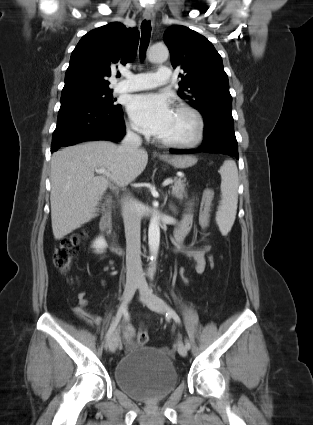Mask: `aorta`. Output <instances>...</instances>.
I'll return each instance as SVG.
<instances>
[{
	"label": "aorta",
	"mask_w": 313,
	"mask_h": 425,
	"mask_svg": "<svg viewBox=\"0 0 313 425\" xmlns=\"http://www.w3.org/2000/svg\"><path fill=\"white\" fill-rule=\"evenodd\" d=\"M169 57V50L164 45H155L150 48L148 58L151 62H164ZM148 244L149 251L152 259V266H155V260L159 250L160 244V227L157 217H153L149 224L148 229Z\"/></svg>",
	"instance_id": "762f6f07"
}]
</instances>
